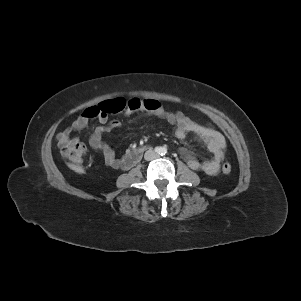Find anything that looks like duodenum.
<instances>
[{"label": "duodenum", "mask_w": 301, "mask_h": 301, "mask_svg": "<svg viewBox=\"0 0 301 301\" xmlns=\"http://www.w3.org/2000/svg\"><path fill=\"white\" fill-rule=\"evenodd\" d=\"M144 152V148L140 147V148H136L134 150H132L131 152L127 153L124 156V167L125 169L131 168L132 166H134L135 164H137Z\"/></svg>", "instance_id": "410a0bca"}]
</instances>
